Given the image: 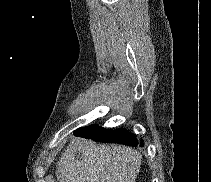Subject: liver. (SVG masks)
Instances as JSON below:
<instances>
[{"label": "liver", "mask_w": 211, "mask_h": 182, "mask_svg": "<svg viewBox=\"0 0 211 182\" xmlns=\"http://www.w3.org/2000/svg\"><path fill=\"white\" fill-rule=\"evenodd\" d=\"M140 166L135 149L73 138L57 163L56 177L59 182H135Z\"/></svg>", "instance_id": "6515ba94"}]
</instances>
